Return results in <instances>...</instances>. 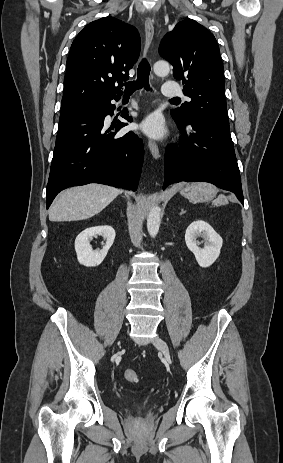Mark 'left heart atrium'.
<instances>
[{
	"instance_id": "39dd6f15",
	"label": "left heart atrium",
	"mask_w": 283,
	"mask_h": 463,
	"mask_svg": "<svg viewBox=\"0 0 283 463\" xmlns=\"http://www.w3.org/2000/svg\"><path fill=\"white\" fill-rule=\"evenodd\" d=\"M142 128L145 133L153 138H160L164 135L165 129L159 115L149 116L143 123Z\"/></svg>"
}]
</instances>
